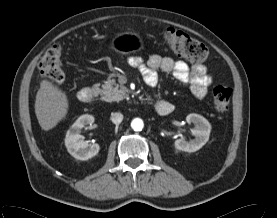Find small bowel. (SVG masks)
I'll use <instances>...</instances> for the list:
<instances>
[{
    "label": "small bowel",
    "mask_w": 277,
    "mask_h": 218,
    "mask_svg": "<svg viewBox=\"0 0 277 218\" xmlns=\"http://www.w3.org/2000/svg\"><path fill=\"white\" fill-rule=\"evenodd\" d=\"M128 63L140 71L145 83L150 87L156 86L158 82V71L173 73L177 80L190 86L192 94L198 99H203L206 96L208 87L212 83V77L207 73L206 67L202 64L190 67L182 60H174L171 57L158 54L150 56L147 62H144L138 57H130ZM161 101L166 100H158L155 105L159 114H162L159 109ZM168 103L171 105V112L172 104L170 102Z\"/></svg>",
    "instance_id": "small-bowel-1"
}]
</instances>
